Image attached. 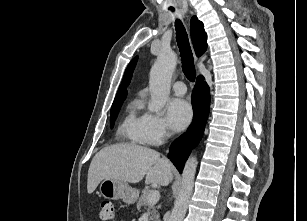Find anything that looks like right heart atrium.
I'll return each instance as SVG.
<instances>
[{
    "instance_id": "1",
    "label": "right heart atrium",
    "mask_w": 307,
    "mask_h": 221,
    "mask_svg": "<svg viewBox=\"0 0 307 221\" xmlns=\"http://www.w3.org/2000/svg\"><path fill=\"white\" fill-rule=\"evenodd\" d=\"M143 116L148 144H160L170 136L169 128L161 116L150 112Z\"/></svg>"
}]
</instances>
